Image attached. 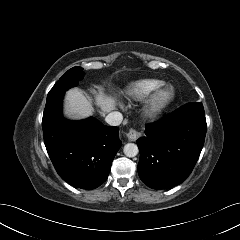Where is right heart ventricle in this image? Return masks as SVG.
Listing matches in <instances>:
<instances>
[{"mask_svg": "<svg viewBox=\"0 0 240 240\" xmlns=\"http://www.w3.org/2000/svg\"><path fill=\"white\" fill-rule=\"evenodd\" d=\"M162 85L163 81L158 79H142L129 84L126 87L125 92L130 97L142 98L150 95Z\"/></svg>", "mask_w": 240, "mask_h": 240, "instance_id": "1", "label": "right heart ventricle"}]
</instances>
